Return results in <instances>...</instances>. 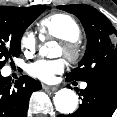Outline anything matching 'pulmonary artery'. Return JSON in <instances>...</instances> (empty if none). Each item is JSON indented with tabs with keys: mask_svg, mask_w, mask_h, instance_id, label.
Here are the masks:
<instances>
[{
	"mask_svg": "<svg viewBox=\"0 0 117 117\" xmlns=\"http://www.w3.org/2000/svg\"><path fill=\"white\" fill-rule=\"evenodd\" d=\"M86 86H87V84H86V83H82V84H81V88H82V89H85V88H86Z\"/></svg>",
	"mask_w": 117,
	"mask_h": 117,
	"instance_id": "e3ab8cb5",
	"label": "pulmonary artery"
}]
</instances>
